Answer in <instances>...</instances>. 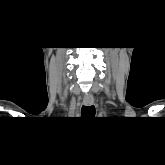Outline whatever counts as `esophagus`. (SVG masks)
<instances>
[{"label": "esophagus", "instance_id": "34e87169", "mask_svg": "<svg viewBox=\"0 0 165 165\" xmlns=\"http://www.w3.org/2000/svg\"><path fill=\"white\" fill-rule=\"evenodd\" d=\"M83 102L86 106H91V105H93L94 100L93 99H84Z\"/></svg>", "mask_w": 165, "mask_h": 165}]
</instances>
